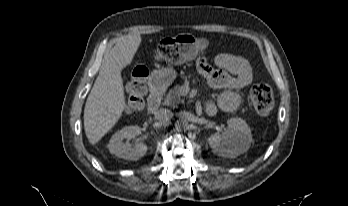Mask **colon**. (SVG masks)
<instances>
[{
    "instance_id": "obj_1",
    "label": "colon",
    "mask_w": 348,
    "mask_h": 206,
    "mask_svg": "<svg viewBox=\"0 0 348 206\" xmlns=\"http://www.w3.org/2000/svg\"><path fill=\"white\" fill-rule=\"evenodd\" d=\"M197 38L178 35L160 41L156 51V59L161 62L180 63L193 55ZM148 70L143 65L134 67L128 87V110H137L143 106L145 81ZM250 106L260 115L268 114L274 106V97L267 84H256L249 95Z\"/></svg>"
}]
</instances>
